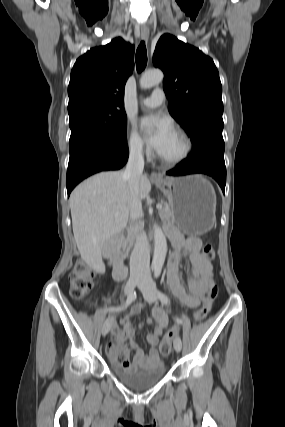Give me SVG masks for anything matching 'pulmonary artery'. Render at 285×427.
Listing matches in <instances>:
<instances>
[{"mask_svg":"<svg viewBox=\"0 0 285 427\" xmlns=\"http://www.w3.org/2000/svg\"><path fill=\"white\" fill-rule=\"evenodd\" d=\"M164 99V92L161 89H155L149 97L142 99L140 103L147 108H156L164 102Z\"/></svg>","mask_w":285,"mask_h":427,"instance_id":"1","label":"pulmonary artery"}]
</instances>
